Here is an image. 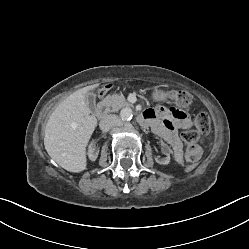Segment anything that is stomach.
<instances>
[{
	"label": "stomach",
	"instance_id": "1",
	"mask_svg": "<svg viewBox=\"0 0 249 249\" xmlns=\"http://www.w3.org/2000/svg\"><path fill=\"white\" fill-rule=\"evenodd\" d=\"M167 98V95L164 91L160 90V89H154V91L152 92V99L155 101H165Z\"/></svg>",
	"mask_w": 249,
	"mask_h": 249
}]
</instances>
